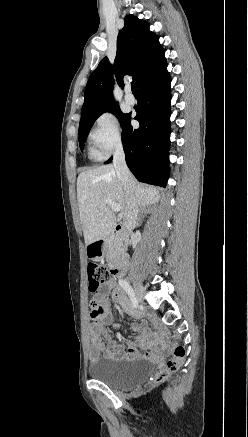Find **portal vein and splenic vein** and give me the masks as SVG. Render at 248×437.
I'll return each instance as SVG.
<instances>
[{
	"label": "portal vein and splenic vein",
	"instance_id": "1",
	"mask_svg": "<svg viewBox=\"0 0 248 437\" xmlns=\"http://www.w3.org/2000/svg\"><path fill=\"white\" fill-rule=\"evenodd\" d=\"M105 202L111 207L113 212H119L121 210L120 205L113 202L110 198H106Z\"/></svg>",
	"mask_w": 248,
	"mask_h": 437
}]
</instances>
